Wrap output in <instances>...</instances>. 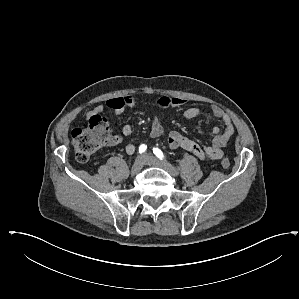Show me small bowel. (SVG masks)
Masks as SVG:
<instances>
[{
    "label": "small bowel",
    "mask_w": 299,
    "mask_h": 299,
    "mask_svg": "<svg viewBox=\"0 0 299 299\" xmlns=\"http://www.w3.org/2000/svg\"><path fill=\"white\" fill-rule=\"evenodd\" d=\"M187 100L182 97H160L154 101V105L158 107H174L179 108L184 106ZM140 105V100L133 95H127L124 97H114L106 101V106L112 110L115 117H119L123 114L126 107H137ZM105 110V106L100 104L92 108L87 116L90 118L94 115H101ZM209 112L212 121L221 122L224 129L221 130L218 126L214 125L211 129L213 138L212 142L208 146H201L194 140L185 136L181 132L172 131L168 135V145L171 149H184L193 153L195 156L202 160H218L223 156L222 148L228 143L230 138L235 132L234 125L230 116L221 108L212 106L211 108L204 109L201 107H187L183 110V117L186 119H193L201 116L205 112ZM133 132L131 125H125L122 128V135L129 136ZM164 133L163 125L158 117H153L151 120L150 134L152 137H160ZM122 142L121 136H114L111 144L117 145ZM136 150V146L133 143H128L125 147V151L128 154H133Z\"/></svg>",
    "instance_id": "small-bowel-1"
}]
</instances>
